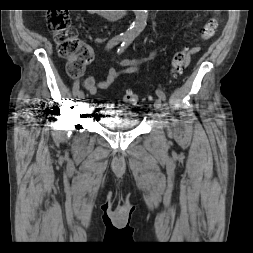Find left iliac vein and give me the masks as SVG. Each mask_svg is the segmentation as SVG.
I'll return each instance as SVG.
<instances>
[{
	"label": "left iliac vein",
	"instance_id": "obj_1",
	"mask_svg": "<svg viewBox=\"0 0 253 253\" xmlns=\"http://www.w3.org/2000/svg\"><path fill=\"white\" fill-rule=\"evenodd\" d=\"M161 108H162V103H161V100L158 98V99H156L155 102H154V109H155L156 111H160Z\"/></svg>",
	"mask_w": 253,
	"mask_h": 253
}]
</instances>
